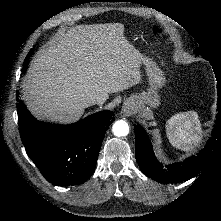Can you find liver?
<instances>
[{
	"mask_svg": "<svg viewBox=\"0 0 221 221\" xmlns=\"http://www.w3.org/2000/svg\"><path fill=\"white\" fill-rule=\"evenodd\" d=\"M144 54L124 36V25H78L40 49L23 80V99L38 118L77 120L86 100L126 90L140 81Z\"/></svg>",
	"mask_w": 221,
	"mask_h": 221,
	"instance_id": "6515ba94",
	"label": "liver"
}]
</instances>
